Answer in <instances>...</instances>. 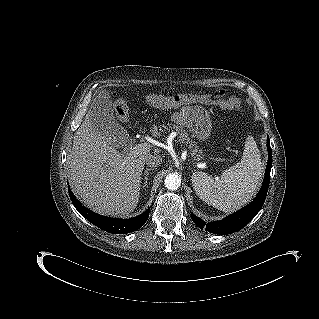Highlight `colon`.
Listing matches in <instances>:
<instances>
[{"label":"colon","mask_w":319,"mask_h":319,"mask_svg":"<svg viewBox=\"0 0 319 319\" xmlns=\"http://www.w3.org/2000/svg\"><path fill=\"white\" fill-rule=\"evenodd\" d=\"M224 95L225 94L223 92H216L212 95H197L190 92L184 94L166 95L162 92H150L146 95V100L153 106L164 108L195 101L204 102L210 99L217 100L224 107H233L234 103L232 101L226 100ZM115 109L120 118L125 119L127 117L128 109L123 100H119L116 103Z\"/></svg>","instance_id":"obj_1"}]
</instances>
